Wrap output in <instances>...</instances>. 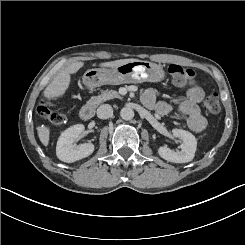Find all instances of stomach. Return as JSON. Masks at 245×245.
I'll list each match as a JSON object with an SVG mask.
<instances>
[{
  "label": "stomach",
  "mask_w": 245,
  "mask_h": 245,
  "mask_svg": "<svg viewBox=\"0 0 245 245\" xmlns=\"http://www.w3.org/2000/svg\"><path fill=\"white\" fill-rule=\"evenodd\" d=\"M164 77L165 71L162 65L136 60L123 63L112 69H89L83 75V83L89 89H93L106 84L160 82Z\"/></svg>",
  "instance_id": "1"
}]
</instances>
